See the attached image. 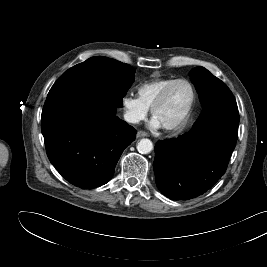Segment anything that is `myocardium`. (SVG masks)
<instances>
[{
  "label": "myocardium",
  "instance_id": "f54148a6",
  "mask_svg": "<svg viewBox=\"0 0 267 267\" xmlns=\"http://www.w3.org/2000/svg\"><path fill=\"white\" fill-rule=\"evenodd\" d=\"M179 83H185L190 87L192 93L191 102L180 120L170 125H161V127L166 131L178 132L183 130L188 124L196 100V91L193 84L187 79H176L160 91L151 105V114L154 118L158 107L165 101L171 89Z\"/></svg>",
  "mask_w": 267,
  "mask_h": 267
}]
</instances>
